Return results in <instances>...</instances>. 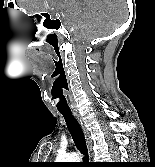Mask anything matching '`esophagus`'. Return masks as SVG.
Wrapping results in <instances>:
<instances>
[{
	"label": "esophagus",
	"mask_w": 155,
	"mask_h": 167,
	"mask_svg": "<svg viewBox=\"0 0 155 167\" xmlns=\"http://www.w3.org/2000/svg\"><path fill=\"white\" fill-rule=\"evenodd\" d=\"M73 114L76 117L77 121L79 122V124L82 127V130H83V132L85 134L86 144H87V147H88L89 156L91 158V156H92V153H91L92 144H91V139H90L89 132H88V130H87V128H86V126H85V124L83 122V119H82L81 115L79 114V112L78 111H74Z\"/></svg>",
	"instance_id": "1"
}]
</instances>
